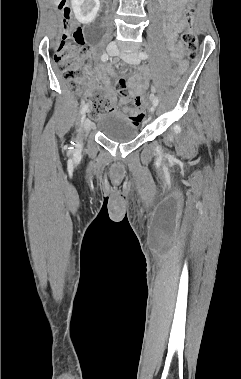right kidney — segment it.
Listing matches in <instances>:
<instances>
[{"instance_id": "right-kidney-1", "label": "right kidney", "mask_w": 241, "mask_h": 379, "mask_svg": "<svg viewBox=\"0 0 241 379\" xmlns=\"http://www.w3.org/2000/svg\"><path fill=\"white\" fill-rule=\"evenodd\" d=\"M75 18L82 24L91 23L100 8L99 0H71Z\"/></svg>"}]
</instances>
